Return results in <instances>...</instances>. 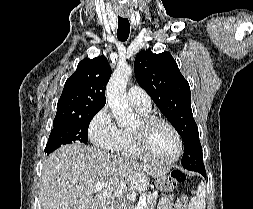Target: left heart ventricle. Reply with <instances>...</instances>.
<instances>
[{
    "label": "left heart ventricle",
    "instance_id": "b2bd125f",
    "mask_svg": "<svg viewBox=\"0 0 253 209\" xmlns=\"http://www.w3.org/2000/svg\"><path fill=\"white\" fill-rule=\"evenodd\" d=\"M147 149L158 159H171L177 150L176 138L171 129L163 123L153 124L148 130Z\"/></svg>",
    "mask_w": 253,
    "mask_h": 209
}]
</instances>
